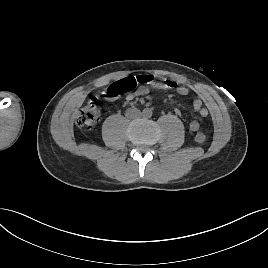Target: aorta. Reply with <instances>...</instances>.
Segmentation results:
<instances>
[{"instance_id": "1", "label": "aorta", "mask_w": 268, "mask_h": 268, "mask_svg": "<svg viewBox=\"0 0 268 268\" xmlns=\"http://www.w3.org/2000/svg\"><path fill=\"white\" fill-rule=\"evenodd\" d=\"M145 114H146V116H151V112L150 111H146Z\"/></svg>"}]
</instances>
